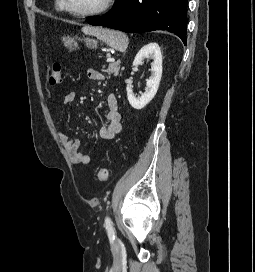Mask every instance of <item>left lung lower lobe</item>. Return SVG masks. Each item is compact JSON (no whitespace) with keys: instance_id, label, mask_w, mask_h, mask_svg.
<instances>
[{"instance_id":"left-lung-lower-lobe-1","label":"left lung lower lobe","mask_w":255,"mask_h":272,"mask_svg":"<svg viewBox=\"0 0 255 272\" xmlns=\"http://www.w3.org/2000/svg\"><path fill=\"white\" fill-rule=\"evenodd\" d=\"M186 6L187 0H115L108 14L86 22L126 33L167 30L185 44Z\"/></svg>"}]
</instances>
